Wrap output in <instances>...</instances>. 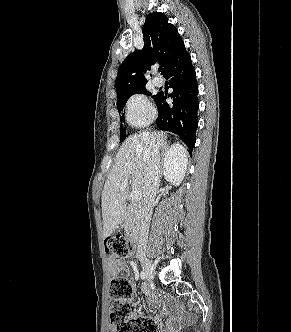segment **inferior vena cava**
<instances>
[{"label": "inferior vena cava", "instance_id": "obj_1", "mask_svg": "<svg viewBox=\"0 0 291 332\" xmlns=\"http://www.w3.org/2000/svg\"><path fill=\"white\" fill-rule=\"evenodd\" d=\"M147 135L150 138L149 133ZM162 175V166L160 153L155 146L154 140H151L150 148L147 150V168L144 177L143 204L139 214V236L138 253H145L148 239L149 225L151 221L152 210L157 190Z\"/></svg>", "mask_w": 291, "mask_h": 332}]
</instances>
